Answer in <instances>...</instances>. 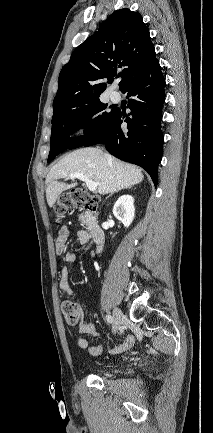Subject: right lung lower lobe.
<instances>
[{
  "label": "right lung lower lobe",
  "mask_w": 213,
  "mask_h": 433,
  "mask_svg": "<svg viewBox=\"0 0 213 433\" xmlns=\"http://www.w3.org/2000/svg\"><path fill=\"white\" fill-rule=\"evenodd\" d=\"M165 79L155 58L121 89L131 97L123 115L115 110L107 126L80 146L104 143L109 153L144 168L157 184L158 164L162 158L163 135L160 129ZM127 123L126 128L121 123ZM79 146V147H80Z\"/></svg>",
  "instance_id": "1"
}]
</instances>
